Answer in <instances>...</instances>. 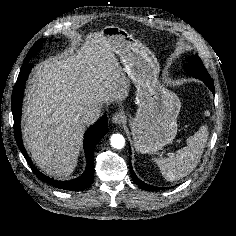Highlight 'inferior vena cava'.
Returning a JSON list of instances; mask_svg holds the SVG:
<instances>
[{"label": "inferior vena cava", "mask_w": 236, "mask_h": 236, "mask_svg": "<svg viewBox=\"0 0 236 236\" xmlns=\"http://www.w3.org/2000/svg\"><path fill=\"white\" fill-rule=\"evenodd\" d=\"M100 114H101L100 107L96 105L88 106L83 110L82 121L87 125L93 124L98 120Z\"/></svg>", "instance_id": "602c4592"}]
</instances>
